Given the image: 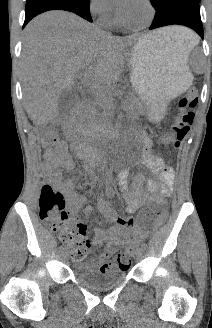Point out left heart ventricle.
<instances>
[{
    "instance_id": "1",
    "label": "left heart ventricle",
    "mask_w": 212,
    "mask_h": 328,
    "mask_svg": "<svg viewBox=\"0 0 212 328\" xmlns=\"http://www.w3.org/2000/svg\"><path fill=\"white\" fill-rule=\"evenodd\" d=\"M123 18L133 24H140L147 20L149 10L142 0H132L131 3L121 11Z\"/></svg>"
}]
</instances>
